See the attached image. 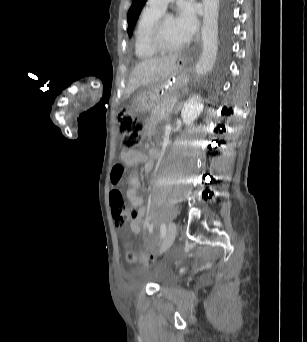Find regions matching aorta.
Here are the masks:
<instances>
[{
	"label": "aorta",
	"instance_id": "762f6f07",
	"mask_svg": "<svg viewBox=\"0 0 307 342\" xmlns=\"http://www.w3.org/2000/svg\"><path fill=\"white\" fill-rule=\"evenodd\" d=\"M202 54L196 64L197 74H204L215 64L218 52L219 0H203ZM173 16H169L172 20Z\"/></svg>",
	"mask_w": 307,
	"mask_h": 342
}]
</instances>
